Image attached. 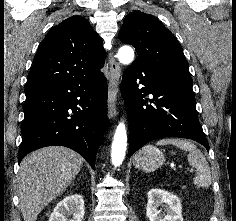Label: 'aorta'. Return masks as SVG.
<instances>
[{
	"mask_svg": "<svg viewBox=\"0 0 236 221\" xmlns=\"http://www.w3.org/2000/svg\"><path fill=\"white\" fill-rule=\"evenodd\" d=\"M117 58L122 64H130L134 59V51L128 46H122L118 53ZM127 148V130L125 124L120 122L116 128L114 139L112 142L111 160L115 167L122 164Z\"/></svg>",
	"mask_w": 236,
	"mask_h": 221,
	"instance_id": "aorta-1",
	"label": "aorta"
}]
</instances>
